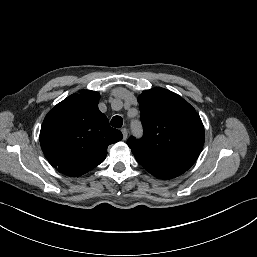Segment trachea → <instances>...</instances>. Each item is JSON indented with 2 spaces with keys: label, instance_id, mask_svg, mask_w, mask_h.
Here are the masks:
<instances>
[{
  "label": "trachea",
  "instance_id": "trachea-1",
  "mask_svg": "<svg viewBox=\"0 0 257 257\" xmlns=\"http://www.w3.org/2000/svg\"><path fill=\"white\" fill-rule=\"evenodd\" d=\"M111 126L115 128H121L123 125V119L120 116H114L110 122Z\"/></svg>",
  "mask_w": 257,
  "mask_h": 257
}]
</instances>
